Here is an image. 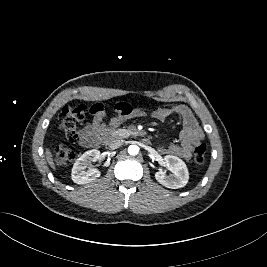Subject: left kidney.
<instances>
[{
  "instance_id": "1",
  "label": "left kidney",
  "mask_w": 267,
  "mask_h": 267,
  "mask_svg": "<svg viewBox=\"0 0 267 267\" xmlns=\"http://www.w3.org/2000/svg\"><path fill=\"white\" fill-rule=\"evenodd\" d=\"M164 163L171 170V173L168 175L166 171L156 172V180L167 188L178 189L184 187L189 180V172L184 161L176 156L166 155Z\"/></svg>"
}]
</instances>
